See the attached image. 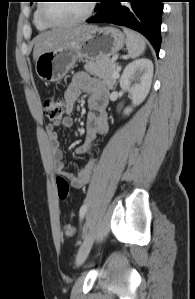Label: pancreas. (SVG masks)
<instances>
[{"mask_svg":"<svg viewBox=\"0 0 195 299\" xmlns=\"http://www.w3.org/2000/svg\"><path fill=\"white\" fill-rule=\"evenodd\" d=\"M116 63L114 59H99L96 61H89L85 64L84 69L102 79L103 83L107 85L108 88H112L116 82V79L113 75L116 70Z\"/></svg>","mask_w":195,"mask_h":299,"instance_id":"pancreas-1","label":"pancreas"}]
</instances>
